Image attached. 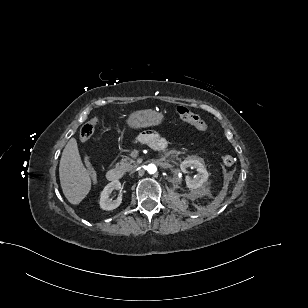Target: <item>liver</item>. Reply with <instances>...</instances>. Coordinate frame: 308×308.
<instances>
[{
  "mask_svg": "<svg viewBox=\"0 0 308 308\" xmlns=\"http://www.w3.org/2000/svg\"><path fill=\"white\" fill-rule=\"evenodd\" d=\"M60 184L71 204H79L91 189V179L84 167L75 138L66 144L59 165Z\"/></svg>",
  "mask_w": 308,
  "mask_h": 308,
  "instance_id": "6515ba94",
  "label": "liver"
}]
</instances>
